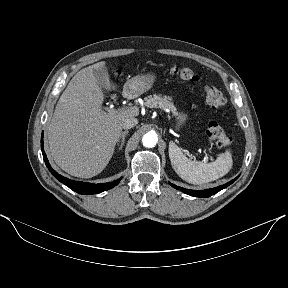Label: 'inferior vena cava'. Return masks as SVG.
<instances>
[{
  "mask_svg": "<svg viewBox=\"0 0 288 288\" xmlns=\"http://www.w3.org/2000/svg\"><path fill=\"white\" fill-rule=\"evenodd\" d=\"M138 124V119L135 117H130L126 119L123 123L124 129H131Z\"/></svg>",
  "mask_w": 288,
  "mask_h": 288,
  "instance_id": "obj_1",
  "label": "inferior vena cava"
}]
</instances>
